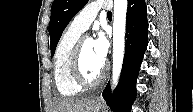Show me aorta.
Listing matches in <instances>:
<instances>
[{
  "mask_svg": "<svg viewBox=\"0 0 193 112\" xmlns=\"http://www.w3.org/2000/svg\"><path fill=\"white\" fill-rule=\"evenodd\" d=\"M127 0H114L112 86L117 84L125 50Z\"/></svg>",
  "mask_w": 193,
  "mask_h": 112,
  "instance_id": "762f6f07",
  "label": "aorta"
}]
</instances>
